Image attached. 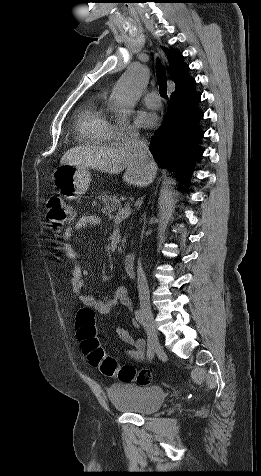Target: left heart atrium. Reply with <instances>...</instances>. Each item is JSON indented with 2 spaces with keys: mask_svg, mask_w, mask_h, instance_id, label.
Wrapping results in <instances>:
<instances>
[{
  "mask_svg": "<svg viewBox=\"0 0 261 476\" xmlns=\"http://www.w3.org/2000/svg\"><path fill=\"white\" fill-rule=\"evenodd\" d=\"M158 118L152 112L139 111L136 115L135 122L139 127L151 128L157 124Z\"/></svg>",
  "mask_w": 261,
  "mask_h": 476,
  "instance_id": "1",
  "label": "left heart atrium"
}]
</instances>
